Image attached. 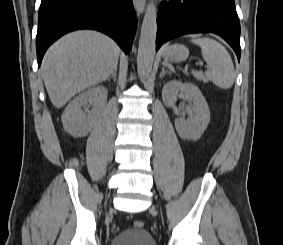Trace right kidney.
Listing matches in <instances>:
<instances>
[{"label": "right kidney", "instance_id": "ca27d5eb", "mask_svg": "<svg viewBox=\"0 0 283 245\" xmlns=\"http://www.w3.org/2000/svg\"><path fill=\"white\" fill-rule=\"evenodd\" d=\"M107 94L105 87L96 86L74 98L61 117L64 130L74 137L87 135L107 102Z\"/></svg>", "mask_w": 283, "mask_h": 245}]
</instances>
